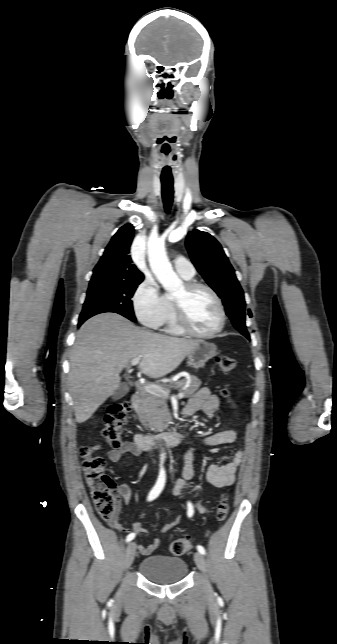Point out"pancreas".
<instances>
[{"mask_svg": "<svg viewBox=\"0 0 337 644\" xmlns=\"http://www.w3.org/2000/svg\"><path fill=\"white\" fill-rule=\"evenodd\" d=\"M187 383H189V386L185 390H180V392L184 393L185 398H189L201 385V381L194 375H188L185 379L174 384H159V386L169 391L172 388L181 389ZM166 399L167 397L163 394H151L144 389H140L139 420L143 426L151 430H163L167 426L170 421V414Z\"/></svg>", "mask_w": 337, "mask_h": 644, "instance_id": "1", "label": "pancreas"}]
</instances>
